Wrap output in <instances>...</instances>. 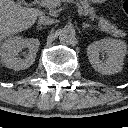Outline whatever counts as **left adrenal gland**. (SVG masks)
Returning a JSON list of instances; mask_svg holds the SVG:
<instances>
[{"instance_id":"obj_1","label":"left adrenal gland","mask_w":128,"mask_h":128,"mask_svg":"<svg viewBox=\"0 0 128 128\" xmlns=\"http://www.w3.org/2000/svg\"><path fill=\"white\" fill-rule=\"evenodd\" d=\"M83 29H85V28H91V26L89 25V24H87V23H83Z\"/></svg>"}]
</instances>
